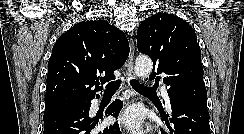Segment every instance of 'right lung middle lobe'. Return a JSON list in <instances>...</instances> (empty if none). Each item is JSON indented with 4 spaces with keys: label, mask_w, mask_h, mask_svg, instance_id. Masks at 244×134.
<instances>
[{
    "label": "right lung middle lobe",
    "mask_w": 244,
    "mask_h": 134,
    "mask_svg": "<svg viewBox=\"0 0 244 134\" xmlns=\"http://www.w3.org/2000/svg\"><path fill=\"white\" fill-rule=\"evenodd\" d=\"M89 100L77 99L72 97H60L52 100L45 101V114L50 113L51 111L58 110L67 106L88 102Z\"/></svg>",
    "instance_id": "right-lung-middle-lobe-1"
}]
</instances>
